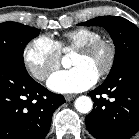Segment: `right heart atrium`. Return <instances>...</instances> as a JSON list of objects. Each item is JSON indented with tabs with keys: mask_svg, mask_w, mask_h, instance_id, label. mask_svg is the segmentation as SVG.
Segmentation results:
<instances>
[{
	"mask_svg": "<svg viewBox=\"0 0 139 139\" xmlns=\"http://www.w3.org/2000/svg\"><path fill=\"white\" fill-rule=\"evenodd\" d=\"M26 68L39 81H44L60 66L61 52L48 36H39L29 42L23 51Z\"/></svg>",
	"mask_w": 139,
	"mask_h": 139,
	"instance_id": "right-heart-atrium-1",
	"label": "right heart atrium"
}]
</instances>
